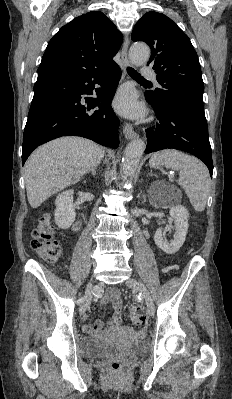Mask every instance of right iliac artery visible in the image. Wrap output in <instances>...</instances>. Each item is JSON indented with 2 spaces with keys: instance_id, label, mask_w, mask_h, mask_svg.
<instances>
[{
  "instance_id": "obj_1",
  "label": "right iliac artery",
  "mask_w": 232,
  "mask_h": 399,
  "mask_svg": "<svg viewBox=\"0 0 232 399\" xmlns=\"http://www.w3.org/2000/svg\"><path fill=\"white\" fill-rule=\"evenodd\" d=\"M85 299H86V296H81V297L78 299V304H80L81 302H83Z\"/></svg>"
}]
</instances>
